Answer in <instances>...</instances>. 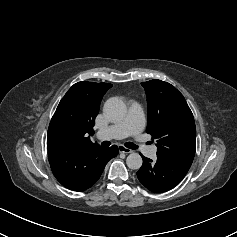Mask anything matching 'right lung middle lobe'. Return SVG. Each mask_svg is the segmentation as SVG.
<instances>
[{
    "label": "right lung middle lobe",
    "instance_id": "1",
    "mask_svg": "<svg viewBox=\"0 0 237 237\" xmlns=\"http://www.w3.org/2000/svg\"><path fill=\"white\" fill-rule=\"evenodd\" d=\"M60 144H61L60 132L58 130H52L50 133L48 132L47 145H60Z\"/></svg>",
    "mask_w": 237,
    "mask_h": 237
}]
</instances>
